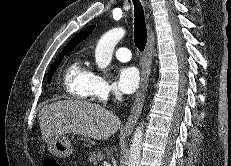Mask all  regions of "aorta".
<instances>
[{
    "instance_id": "1",
    "label": "aorta",
    "mask_w": 231,
    "mask_h": 166,
    "mask_svg": "<svg viewBox=\"0 0 231 166\" xmlns=\"http://www.w3.org/2000/svg\"><path fill=\"white\" fill-rule=\"evenodd\" d=\"M123 28H114L105 33L95 49V59L99 69H105L111 62L116 44L124 37ZM143 123L136 128L130 145L127 166H139L142 149Z\"/></svg>"
}]
</instances>
